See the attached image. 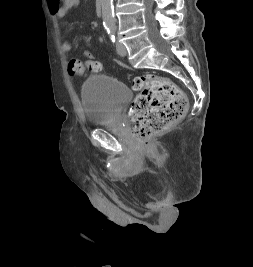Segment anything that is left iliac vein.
<instances>
[{
	"label": "left iliac vein",
	"mask_w": 253,
	"mask_h": 267,
	"mask_svg": "<svg viewBox=\"0 0 253 267\" xmlns=\"http://www.w3.org/2000/svg\"><path fill=\"white\" fill-rule=\"evenodd\" d=\"M116 49H117V53L122 56V57H125L127 55V50H126V47L121 44V43H116Z\"/></svg>",
	"instance_id": "obj_1"
}]
</instances>
